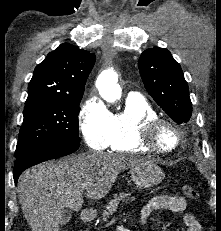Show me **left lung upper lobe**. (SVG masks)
<instances>
[{
	"instance_id": "1",
	"label": "left lung upper lobe",
	"mask_w": 221,
	"mask_h": 231,
	"mask_svg": "<svg viewBox=\"0 0 221 231\" xmlns=\"http://www.w3.org/2000/svg\"><path fill=\"white\" fill-rule=\"evenodd\" d=\"M148 93L176 123H186L192 115L189 89L180 65L167 49L145 50L138 62Z\"/></svg>"
}]
</instances>
